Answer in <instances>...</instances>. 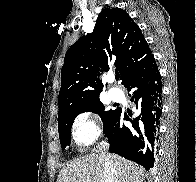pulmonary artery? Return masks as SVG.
<instances>
[{
  "instance_id": "e3ab8cb5",
  "label": "pulmonary artery",
  "mask_w": 196,
  "mask_h": 182,
  "mask_svg": "<svg viewBox=\"0 0 196 182\" xmlns=\"http://www.w3.org/2000/svg\"><path fill=\"white\" fill-rule=\"evenodd\" d=\"M109 95L114 101H119L122 98L123 93L119 88L111 87L109 89Z\"/></svg>"
}]
</instances>
